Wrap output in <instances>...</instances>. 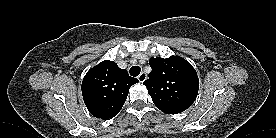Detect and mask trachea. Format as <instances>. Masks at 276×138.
Instances as JSON below:
<instances>
[{
  "instance_id": "trachea-1",
  "label": "trachea",
  "mask_w": 276,
  "mask_h": 138,
  "mask_svg": "<svg viewBox=\"0 0 276 138\" xmlns=\"http://www.w3.org/2000/svg\"><path fill=\"white\" fill-rule=\"evenodd\" d=\"M141 68L139 66H133L130 68L129 73L131 76L136 77L140 74Z\"/></svg>"
}]
</instances>
